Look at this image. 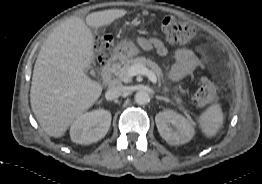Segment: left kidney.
<instances>
[{
  "instance_id": "1",
  "label": "left kidney",
  "mask_w": 262,
  "mask_h": 184,
  "mask_svg": "<svg viewBox=\"0 0 262 184\" xmlns=\"http://www.w3.org/2000/svg\"><path fill=\"white\" fill-rule=\"evenodd\" d=\"M155 122L160 136L171 145L187 143L195 134V128L189 119L173 110L159 112L155 116Z\"/></svg>"
}]
</instances>
